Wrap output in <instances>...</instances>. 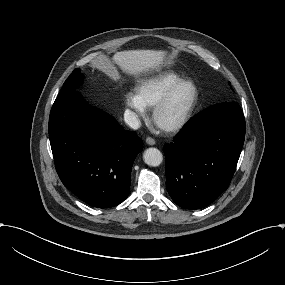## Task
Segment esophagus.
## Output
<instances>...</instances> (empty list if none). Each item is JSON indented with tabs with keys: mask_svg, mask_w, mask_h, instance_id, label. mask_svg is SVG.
<instances>
[{
	"mask_svg": "<svg viewBox=\"0 0 285 285\" xmlns=\"http://www.w3.org/2000/svg\"><path fill=\"white\" fill-rule=\"evenodd\" d=\"M148 145H155L156 141L152 137H147L145 141Z\"/></svg>",
	"mask_w": 285,
	"mask_h": 285,
	"instance_id": "esophagus-1",
	"label": "esophagus"
}]
</instances>
